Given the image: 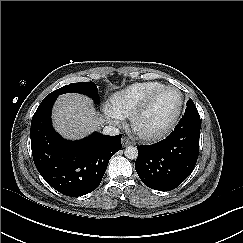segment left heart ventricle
<instances>
[{
  "instance_id": "obj_1",
  "label": "left heart ventricle",
  "mask_w": 243,
  "mask_h": 243,
  "mask_svg": "<svg viewBox=\"0 0 243 243\" xmlns=\"http://www.w3.org/2000/svg\"><path fill=\"white\" fill-rule=\"evenodd\" d=\"M180 98L177 90H168L160 94L139 118L138 128L146 133L164 128L177 113Z\"/></svg>"
}]
</instances>
